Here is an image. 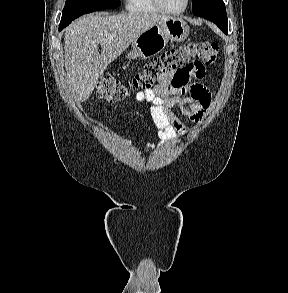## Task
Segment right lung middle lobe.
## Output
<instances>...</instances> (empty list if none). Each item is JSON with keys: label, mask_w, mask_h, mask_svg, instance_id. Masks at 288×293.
I'll use <instances>...</instances> for the list:
<instances>
[{"label": "right lung middle lobe", "mask_w": 288, "mask_h": 293, "mask_svg": "<svg viewBox=\"0 0 288 293\" xmlns=\"http://www.w3.org/2000/svg\"><path fill=\"white\" fill-rule=\"evenodd\" d=\"M120 0H66L59 28H65L79 16L107 8H116Z\"/></svg>", "instance_id": "obj_1"}]
</instances>
